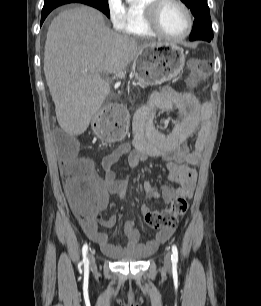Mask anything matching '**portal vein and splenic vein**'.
Instances as JSON below:
<instances>
[{
    "label": "portal vein and splenic vein",
    "instance_id": "portal-vein-and-splenic-vein-1",
    "mask_svg": "<svg viewBox=\"0 0 261 306\" xmlns=\"http://www.w3.org/2000/svg\"><path fill=\"white\" fill-rule=\"evenodd\" d=\"M118 76H119V77H123V76H124V73L121 72V73L118 74Z\"/></svg>",
    "mask_w": 261,
    "mask_h": 306
}]
</instances>
